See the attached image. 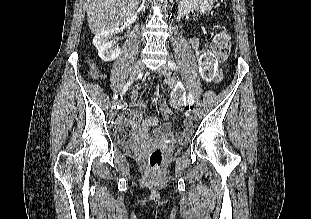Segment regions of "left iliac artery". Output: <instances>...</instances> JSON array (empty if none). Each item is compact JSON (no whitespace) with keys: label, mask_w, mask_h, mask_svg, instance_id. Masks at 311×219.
Segmentation results:
<instances>
[{"label":"left iliac artery","mask_w":311,"mask_h":219,"mask_svg":"<svg viewBox=\"0 0 311 219\" xmlns=\"http://www.w3.org/2000/svg\"><path fill=\"white\" fill-rule=\"evenodd\" d=\"M168 66H169L172 70H175V69H176V63H175L174 61H172V60H170V61L168 62ZM188 103H189V105H193V103H194V97H193V95H192L191 93H189V95H188Z\"/></svg>","instance_id":"44dca946"}]
</instances>
